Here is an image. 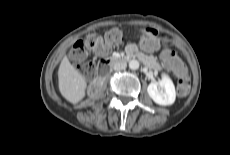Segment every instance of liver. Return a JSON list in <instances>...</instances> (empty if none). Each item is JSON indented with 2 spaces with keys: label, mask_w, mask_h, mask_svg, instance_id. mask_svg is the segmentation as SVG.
<instances>
[{
  "label": "liver",
  "mask_w": 230,
  "mask_h": 155,
  "mask_svg": "<svg viewBox=\"0 0 230 155\" xmlns=\"http://www.w3.org/2000/svg\"><path fill=\"white\" fill-rule=\"evenodd\" d=\"M58 86L61 95L73 104L85 97L87 82L66 56L63 57L59 66Z\"/></svg>",
  "instance_id": "6515ba94"
}]
</instances>
